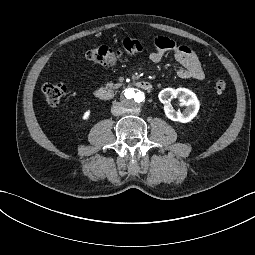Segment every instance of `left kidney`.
I'll return each mask as SVG.
<instances>
[{"mask_svg": "<svg viewBox=\"0 0 255 255\" xmlns=\"http://www.w3.org/2000/svg\"><path fill=\"white\" fill-rule=\"evenodd\" d=\"M173 98H177L186 109L180 111L171 110L168 106L165 107L166 116L176 122L188 123L191 122L197 115L200 108V101L196 95L188 89L165 88L159 93V100L162 103H169Z\"/></svg>", "mask_w": 255, "mask_h": 255, "instance_id": "obj_1", "label": "left kidney"}]
</instances>
